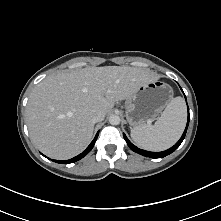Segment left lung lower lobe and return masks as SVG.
<instances>
[{
  "mask_svg": "<svg viewBox=\"0 0 221 221\" xmlns=\"http://www.w3.org/2000/svg\"><path fill=\"white\" fill-rule=\"evenodd\" d=\"M185 99H186V96H185ZM188 112H189V108H188ZM189 118H190V115L188 114V120H187V125H186V128L184 130V133L182 134L181 138L179 139V141L173 146L171 147L170 149H167L165 151H162V152H150V151H146V150H142V149H139L138 147H136L135 145H133L129 140L128 138L126 137L125 134H123L124 136V139L126 140L128 146L130 147L131 150H133L134 152L136 153H139L143 156H146V157H151V158H163L169 154H171L172 152H174L179 146L180 144L182 143V141L184 140L185 138V135H186V132H187V128H188V125H189Z\"/></svg>",
  "mask_w": 221,
  "mask_h": 221,
  "instance_id": "obj_1",
  "label": "left lung lower lobe"
}]
</instances>
